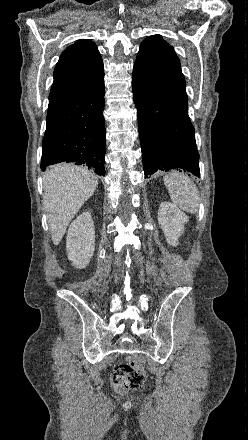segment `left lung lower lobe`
Here are the masks:
<instances>
[{
    "mask_svg": "<svg viewBox=\"0 0 248 440\" xmlns=\"http://www.w3.org/2000/svg\"><path fill=\"white\" fill-rule=\"evenodd\" d=\"M145 177L183 169L200 177L199 154L188 105L171 94L132 77Z\"/></svg>",
    "mask_w": 248,
    "mask_h": 440,
    "instance_id": "left-lung-lower-lobe-1",
    "label": "left lung lower lobe"
}]
</instances>
